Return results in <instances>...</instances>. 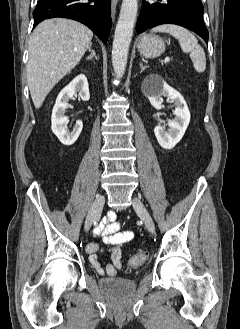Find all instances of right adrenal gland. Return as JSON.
I'll return each mask as SVG.
<instances>
[{
  "label": "right adrenal gland",
  "mask_w": 240,
  "mask_h": 329,
  "mask_svg": "<svg viewBox=\"0 0 240 329\" xmlns=\"http://www.w3.org/2000/svg\"><path fill=\"white\" fill-rule=\"evenodd\" d=\"M89 52H90V55L87 57V60H91L93 58H95L97 60L96 53L94 50L91 49V47H89Z\"/></svg>",
  "instance_id": "1"
}]
</instances>
